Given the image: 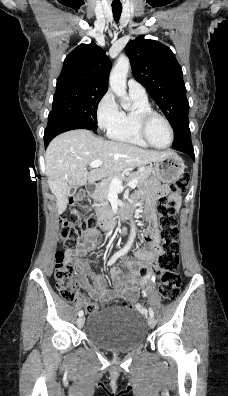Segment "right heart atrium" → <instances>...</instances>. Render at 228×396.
<instances>
[{"instance_id":"1","label":"right heart atrium","mask_w":228,"mask_h":396,"mask_svg":"<svg viewBox=\"0 0 228 396\" xmlns=\"http://www.w3.org/2000/svg\"><path fill=\"white\" fill-rule=\"evenodd\" d=\"M121 110L111 92H106L96 107V119L101 130L108 131L120 120Z\"/></svg>"}]
</instances>
